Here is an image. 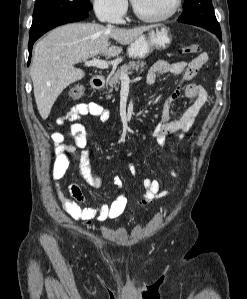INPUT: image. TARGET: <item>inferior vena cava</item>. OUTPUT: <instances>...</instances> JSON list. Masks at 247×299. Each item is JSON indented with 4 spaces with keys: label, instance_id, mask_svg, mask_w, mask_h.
Masks as SVG:
<instances>
[{
    "label": "inferior vena cava",
    "instance_id": "obj_1",
    "mask_svg": "<svg viewBox=\"0 0 247 299\" xmlns=\"http://www.w3.org/2000/svg\"><path fill=\"white\" fill-rule=\"evenodd\" d=\"M107 28H108V29H111V28H112V26H111V25H108V26H107Z\"/></svg>",
    "mask_w": 247,
    "mask_h": 299
}]
</instances>
